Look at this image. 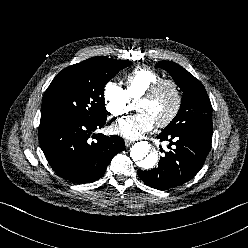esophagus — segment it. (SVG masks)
<instances>
[{
  "instance_id": "obj_1",
  "label": "esophagus",
  "mask_w": 248,
  "mask_h": 248,
  "mask_svg": "<svg viewBox=\"0 0 248 248\" xmlns=\"http://www.w3.org/2000/svg\"><path fill=\"white\" fill-rule=\"evenodd\" d=\"M132 141H129V140H125V146L126 147H130L132 145Z\"/></svg>"
}]
</instances>
